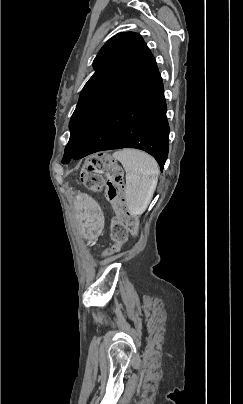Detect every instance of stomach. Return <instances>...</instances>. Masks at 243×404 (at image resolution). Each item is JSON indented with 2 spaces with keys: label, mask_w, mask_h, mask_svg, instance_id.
I'll return each mask as SVG.
<instances>
[{
  "label": "stomach",
  "mask_w": 243,
  "mask_h": 404,
  "mask_svg": "<svg viewBox=\"0 0 243 404\" xmlns=\"http://www.w3.org/2000/svg\"><path fill=\"white\" fill-rule=\"evenodd\" d=\"M78 224L90 238L101 233L104 217L99 205L89 196L78 194L75 203Z\"/></svg>",
  "instance_id": "obj_1"
}]
</instances>
